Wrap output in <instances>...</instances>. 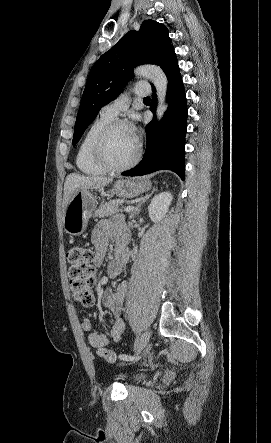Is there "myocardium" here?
<instances>
[{
    "label": "myocardium",
    "mask_w": 271,
    "mask_h": 443,
    "mask_svg": "<svg viewBox=\"0 0 271 443\" xmlns=\"http://www.w3.org/2000/svg\"><path fill=\"white\" fill-rule=\"evenodd\" d=\"M120 126H129L131 128H133L132 124L125 120V119H119V118H115L112 119L100 132L99 136L97 137L95 144H94V156L95 159L97 160V162L104 167L107 171L110 172H122L125 171L129 168H131L132 166H134L142 153V143L140 138L136 135L137 137V150L135 152V154L133 155V157L128 160L127 162L117 165L114 164L108 154V143H109V139L112 135V133L114 132L115 129H117ZM134 129V128H133Z\"/></svg>",
    "instance_id": "f54148a6"
}]
</instances>
